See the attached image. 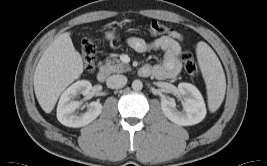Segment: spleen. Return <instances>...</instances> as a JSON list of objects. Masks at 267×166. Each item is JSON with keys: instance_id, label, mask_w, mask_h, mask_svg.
Listing matches in <instances>:
<instances>
[{"instance_id": "obj_1", "label": "spleen", "mask_w": 267, "mask_h": 166, "mask_svg": "<svg viewBox=\"0 0 267 166\" xmlns=\"http://www.w3.org/2000/svg\"><path fill=\"white\" fill-rule=\"evenodd\" d=\"M198 63L206 83L208 107L215 112L223 102L226 78L222 65L213 50L204 42L197 46Z\"/></svg>"}]
</instances>
